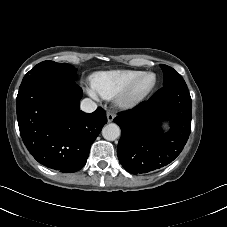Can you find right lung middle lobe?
Masks as SVG:
<instances>
[{
	"instance_id": "dd1d6c3e",
	"label": "right lung middle lobe",
	"mask_w": 227,
	"mask_h": 227,
	"mask_svg": "<svg viewBox=\"0 0 227 227\" xmlns=\"http://www.w3.org/2000/svg\"><path fill=\"white\" fill-rule=\"evenodd\" d=\"M75 68L66 63H56L54 61H43L37 64L33 69H31L23 79H27L31 76H35L38 74H50V75H59L70 77L71 79H75L73 77Z\"/></svg>"
}]
</instances>
